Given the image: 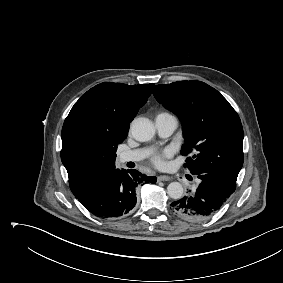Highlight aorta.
<instances>
[{"label":"aorta","instance_id":"762f6f07","mask_svg":"<svg viewBox=\"0 0 283 283\" xmlns=\"http://www.w3.org/2000/svg\"><path fill=\"white\" fill-rule=\"evenodd\" d=\"M133 138L139 142L150 141L155 135L153 123L147 118L135 119L130 127ZM183 186L179 182H171L167 187V193L172 199H180L183 196Z\"/></svg>","mask_w":283,"mask_h":283}]
</instances>
